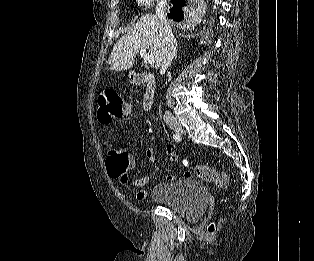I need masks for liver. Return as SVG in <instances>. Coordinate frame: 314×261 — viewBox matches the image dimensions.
<instances>
[{
	"label": "liver",
	"instance_id": "1",
	"mask_svg": "<svg viewBox=\"0 0 314 261\" xmlns=\"http://www.w3.org/2000/svg\"><path fill=\"white\" fill-rule=\"evenodd\" d=\"M162 26L157 15L145 14L135 23L133 29L115 44L108 64L115 71L130 69L141 48L148 49L154 56L155 68L159 69L164 45Z\"/></svg>",
	"mask_w": 314,
	"mask_h": 261
}]
</instances>
